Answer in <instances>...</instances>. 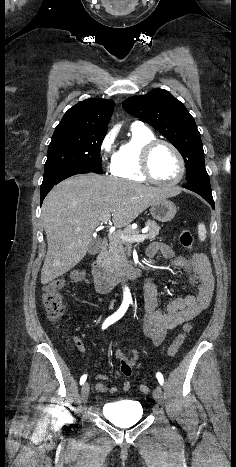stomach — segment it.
<instances>
[{
	"label": "stomach",
	"mask_w": 236,
	"mask_h": 467,
	"mask_svg": "<svg viewBox=\"0 0 236 467\" xmlns=\"http://www.w3.org/2000/svg\"><path fill=\"white\" fill-rule=\"evenodd\" d=\"M150 212L155 220L160 222H169L176 215L177 207L172 201L161 199L151 205Z\"/></svg>",
	"instance_id": "1"
}]
</instances>
